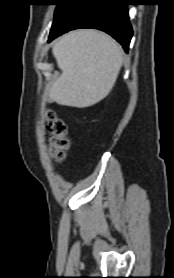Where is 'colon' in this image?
Here are the masks:
<instances>
[{"mask_svg":"<svg viewBox=\"0 0 174 278\" xmlns=\"http://www.w3.org/2000/svg\"><path fill=\"white\" fill-rule=\"evenodd\" d=\"M45 119L46 127L50 134V154L57 161H62L69 148V141L66 137V124L52 110L46 112Z\"/></svg>","mask_w":174,"mask_h":278,"instance_id":"5ec220e1","label":"colon"}]
</instances>
